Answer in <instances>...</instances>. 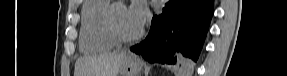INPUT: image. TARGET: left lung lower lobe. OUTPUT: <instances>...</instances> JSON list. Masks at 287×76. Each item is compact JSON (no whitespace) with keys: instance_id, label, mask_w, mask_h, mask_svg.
<instances>
[{"instance_id":"left-lung-lower-lobe-1","label":"left lung lower lobe","mask_w":287,"mask_h":76,"mask_svg":"<svg viewBox=\"0 0 287 76\" xmlns=\"http://www.w3.org/2000/svg\"><path fill=\"white\" fill-rule=\"evenodd\" d=\"M214 0H169L146 39L130 48L151 62L192 66L205 40Z\"/></svg>"}]
</instances>
